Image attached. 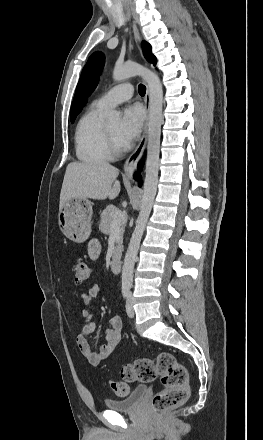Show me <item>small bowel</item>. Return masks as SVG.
<instances>
[{
  "instance_id": "1",
  "label": "small bowel",
  "mask_w": 263,
  "mask_h": 440,
  "mask_svg": "<svg viewBox=\"0 0 263 440\" xmlns=\"http://www.w3.org/2000/svg\"><path fill=\"white\" fill-rule=\"evenodd\" d=\"M101 252V245L97 240H92L88 246V254L92 260L99 257ZM101 292V286L92 284L88 286L79 297V304L81 312L85 318V323L76 338L77 346L82 355L92 365H98L104 359L108 358L122 342V321L119 316H112L109 320V327L106 330V342L102 344L99 350H94L89 342V337L95 331V324L92 319V314L88 310V306L92 300Z\"/></svg>"
}]
</instances>
